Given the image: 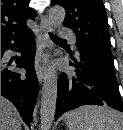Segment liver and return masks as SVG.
Instances as JSON below:
<instances>
[{
  "instance_id": "6515ba94",
  "label": "liver",
  "mask_w": 123,
  "mask_h": 130,
  "mask_svg": "<svg viewBox=\"0 0 123 130\" xmlns=\"http://www.w3.org/2000/svg\"><path fill=\"white\" fill-rule=\"evenodd\" d=\"M21 123L17 109L1 96V130H21Z\"/></svg>"
}]
</instances>
